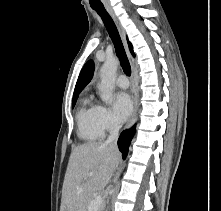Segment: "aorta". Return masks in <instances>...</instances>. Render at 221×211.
<instances>
[{
  "instance_id": "obj_1",
  "label": "aorta",
  "mask_w": 221,
  "mask_h": 211,
  "mask_svg": "<svg viewBox=\"0 0 221 211\" xmlns=\"http://www.w3.org/2000/svg\"><path fill=\"white\" fill-rule=\"evenodd\" d=\"M119 61L116 58L107 59L100 70V98L105 104L113 101V89Z\"/></svg>"
}]
</instances>
